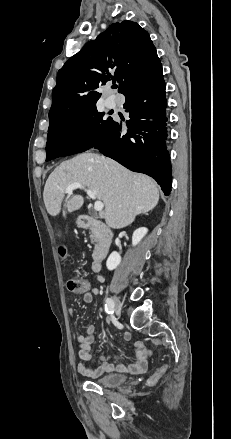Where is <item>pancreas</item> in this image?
Returning a JSON list of instances; mask_svg holds the SVG:
<instances>
[{
  "mask_svg": "<svg viewBox=\"0 0 231 439\" xmlns=\"http://www.w3.org/2000/svg\"><path fill=\"white\" fill-rule=\"evenodd\" d=\"M90 238L91 242L94 243L95 246H97L101 241V234L98 231H92Z\"/></svg>",
  "mask_w": 231,
  "mask_h": 439,
  "instance_id": "pancreas-1",
  "label": "pancreas"
}]
</instances>
